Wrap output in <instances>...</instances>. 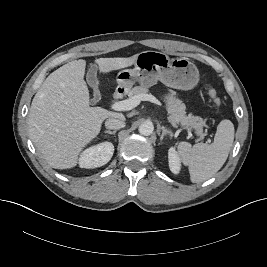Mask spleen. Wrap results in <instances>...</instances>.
I'll use <instances>...</instances> for the list:
<instances>
[{
	"instance_id": "3e777b00",
	"label": "spleen",
	"mask_w": 267,
	"mask_h": 267,
	"mask_svg": "<svg viewBox=\"0 0 267 267\" xmlns=\"http://www.w3.org/2000/svg\"><path fill=\"white\" fill-rule=\"evenodd\" d=\"M234 133L233 123L224 119L217 126L212 144L197 143L192 146L185 141L178 144V155L188 166L193 183L204 182L221 169L233 145Z\"/></svg>"
}]
</instances>
